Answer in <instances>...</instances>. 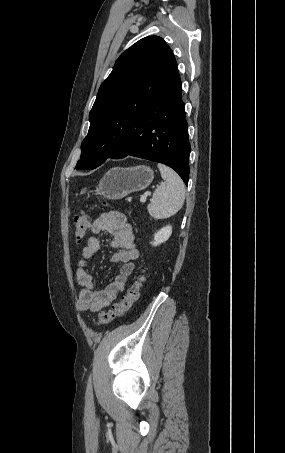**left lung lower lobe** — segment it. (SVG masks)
Returning a JSON list of instances; mask_svg holds the SVG:
<instances>
[{
	"label": "left lung lower lobe",
	"mask_w": 285,
	"mask_h": 453,
	"mask_svg": "<svg viewBox=\"0 0 285 453\" xmlns=\"http://www.w3.org/2000/svg\"><path fill=\"white\" fill-rule=\"evenodd\" d=\"M190 151L181 80L175 60L151 101L108 158L121 159L130 155L163 163L174 169L187 185Z\"/></svg>",
	"instance_id": "0a47b994"
}]
</instances>
